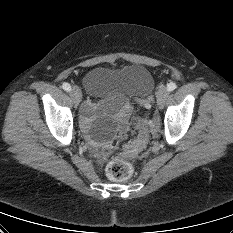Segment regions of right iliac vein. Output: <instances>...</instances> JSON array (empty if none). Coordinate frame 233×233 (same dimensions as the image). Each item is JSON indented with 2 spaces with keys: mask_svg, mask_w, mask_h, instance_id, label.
I'll return each mask as SVG.
<instances>
[{
  "mask_svg": "<svg viewBox=\"0 0 233 233\" xmlns=\"http://www.w3.org/2000/svg\"><path fill=\"white\" fill-rule=\"evenodd\" d=\"M70 95L72 97L74 104L77 106L80 103L81 98H82L80 89L77 86H74L70 90Z\"/></svg>",
  "mask_w": 233,
  "mask_h": 233,
  "instance_id": "63e3f726",
  "label": "right iliac vein"
}]
</instances>
